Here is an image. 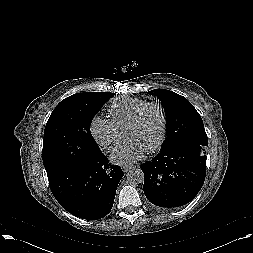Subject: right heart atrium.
Here are the masks:
<instances>
[{
  "instance_id": "obj_1",
  "label": "right heart atrium",
  "mask_w": 253,
  "mask_h": 253,
  "mask_svg": "<svg viewBox=\"0 0 253 253\" xmlns=\"http://www.w3.org/2000/svg\"><path fill=\"white\" fill-rule=\"evenodd\" d=\"M90 130L97 144L106 151H113L120 142L121 131L110 119L94 117Z\"/></svg>"
}]
</instances>
